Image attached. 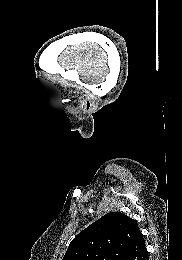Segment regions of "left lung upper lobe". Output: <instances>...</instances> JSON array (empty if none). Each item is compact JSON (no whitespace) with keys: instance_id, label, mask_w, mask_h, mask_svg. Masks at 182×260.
I'll list each match as a JSON object with an SVG mask.
<instances>
[{"instance_id":"5c2ea615","label":"left lung upper lobe","mask_w":182,"mask_h":260,"mask_svg":"<svg viewBox=\"0 0 182 260\" xmlns=\"http://www.w3.org/2000/svg\"><path fill=\"white\" fill-rule=\"evenodd\" d=\"M139 233L136 220L107 213L71 241L62 260H122Z\"/></svg>"}]
</instances>
